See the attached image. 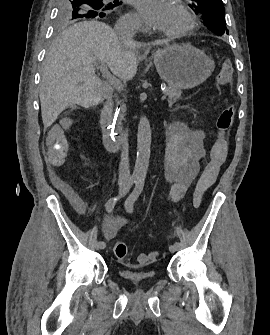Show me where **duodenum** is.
Segmentation results:
<instances>
[{"instance_id": "duodenum-1", "label": "duodenum", "mask_w": 270, "mask_h": 335, "mask_svg": "<svg viewBox=\"0 0 270 335\" xmlns=\"http://www.w3.org/2000/svg\"><path fill=\"white\" fill-rule=\"evenodd\" d=\"M112 113H113V103L111 101L107 102L104 106L101 116H100V128L102 140L105 148L108 151L114 152L119 147V140L112 130Z\"/></svg>"}]
</instances>
